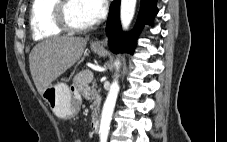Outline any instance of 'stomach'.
I'll return each mask as SVG.
<instances>
[{
    "mask_svg": "<svg viewBox=\"0 0 227 142\" xmlns=\"http://www.w3.org/2000/svg\"><path fill=\"white\" fill-rule=\"evenodd\" d=\"M91 48L99 55L106 52L105 49L95 46ZM42 98L49 104L54 114L62 119L72 118L79 110L80 102L74 100L69 86L65 83L49 85L42 93Z\"/></svg>",
    "mask_w": 227,
    "mask_h": 142,
    "instance_id": "obj_1",
    "label": "stomach"
}]
</instances>
